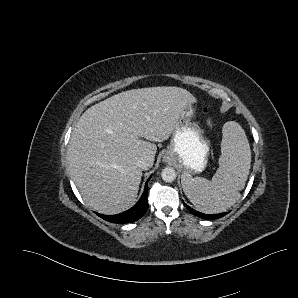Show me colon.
I'll return each instance as SVG.
<instances>
[{
    "instance_id": "5ec220e1",
    "label": "colon",
    "mask_w": 298,
    "mask_h": 298,
    "mask_svg": "<svg viewBox=\"0 0 298 298\" xmlns=\"http://www.w3.org/2000/svg\"><path fill=\"white\" fill-rule=\"evenodd\" d=\"M207 110H208L207 108H204V112H207Z\"/></svg>"
}]
</instances>
